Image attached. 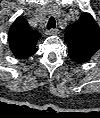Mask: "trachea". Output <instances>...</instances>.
I'll return each instance as SVG.
<instances>
[{"mask_svg": "<svg viewBox=\"0 0 100 118\" xmlns=\"http://www.w3.org/2000/svg\"><path fill=\"white\" fill-rule=\"evenodd\" d=\"M56 26V21H55V18L54 17H51L48 21V24H47V29H52V28H55Z\"/></svg>", "mask_w": 100, "mask_h": 118, "instance_id": "trachea-1", "label": "trachea"}]
</instances>
